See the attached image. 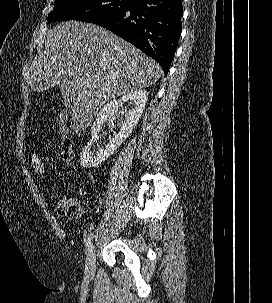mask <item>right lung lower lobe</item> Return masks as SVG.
Instances as JSON below:
<instances>
[{
	"label": "right lung lower lobe",
	"instance_id": "obj_1",
	"mask_svg": "<svg viewBox=\"0 0 272 303\" xmlns=\"http://www.w3.org/2000/svg\"><path fill=\"white\" fill-rule=\"evenodd\" d=\"M182 16V0H133L127 10L92 23L151 56L166 75L178 46Z\"/></svg>",
	"mask_w": 272,
	"mask_h": 303
}]
</instances>
